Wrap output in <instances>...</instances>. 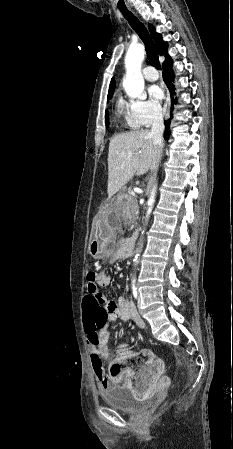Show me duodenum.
<instances>
[{
	"mask_svg": "<svg viewBox=\"0 0 233 449\" xmlns=\"http://www.w3.org/2000/svg\"><path fill=\"white\" fill-rule=\"evenodd\" d=\"M122 246H123V249L126 252V254L132 255L135 252V247H136L135 237L126 239L123 242Z\"/></svg>",
	"mask_w": 233,
	"mask_h": 449,
	"instance_id": "410a0bca",
	"label": "duodenum"
}]
</instances>
